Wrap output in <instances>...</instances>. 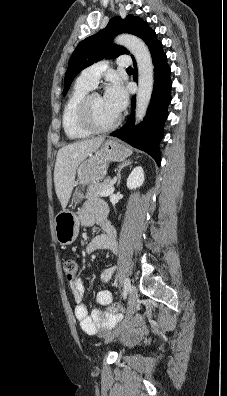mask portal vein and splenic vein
Instances as JSON below:
<instances>
[{
  "mask_svg": "<svg viewBox=\"0 0 227 396\" xmlns=\"http://www.w3.org/2000/svg\"><path fill=\"white\" fill-rule=\"evenodd\" d=\"M114 192L113 183L106 190L101 192V196H108Z\"/></svg>",
  "mask_w": 227,
  "mask_h": 396,
  "instance_id": "obj_1",
  "label": "portal vein and splenic vein"
}]
</instances>
